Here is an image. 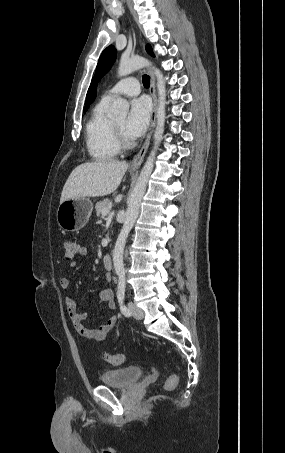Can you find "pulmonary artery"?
Wrapping results in <instances>:
<instances>
[{"label":"pulmonary artery","mask_w":285,"mask_h":453,"mask_svg":"<svg viewBox=\"0 0 285 453\" xmlns=\"http://www.w3.org/2000/svg\"><path fill=\"white\" fill-rule=\"evenodd\" d=\"M140 92L139 81L135 77L125 78L116 83L112 88L103 95L104 100L111 101L118 95L135 96Z\"/></svg>","instance_id":"e3ab8cb5"}]
</instances>
